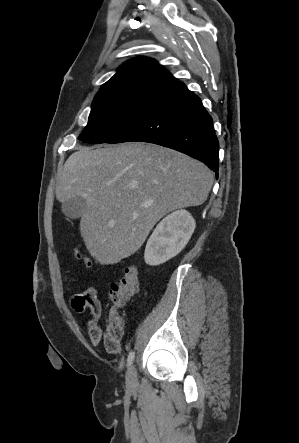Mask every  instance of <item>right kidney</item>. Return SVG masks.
Instances as JSON below:
<instances>
[{
    "instance_id": "right-kidney-1",
    "label": "right kidney",
    "mask_w": 299,
    "mask_h": 443,
    "mask_svg": "<svg viewBox=\"0 0 299 443\" xmlns=\"http://www.w3.org/2000/svg\"><path fill=\"white\" fill-rule=\"evenodd\" d=\"M196 227L191 214L177 210L162 219L147 241L146 264L157 266L175 257L186 246Z\"/></svg>"
}]
</instances>
